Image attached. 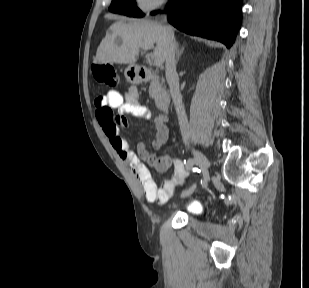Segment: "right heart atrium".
<instances>
[{"mask_svg":"<svg viewBox=\"0 0 309 288\" xmlns=\"http://www.w3.org/2000/svg\"><path fill=\"white\" fill-rule=\"evenodd\" d=\"M168 0H136L137 7L146 13L152 12L165 5Z\"/></svg>","mask_w":309,"mask_h":288,"instance_id":"d8ad5b80","label":"right heart atrium"}]
</instances>
